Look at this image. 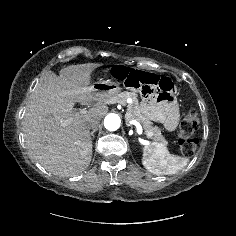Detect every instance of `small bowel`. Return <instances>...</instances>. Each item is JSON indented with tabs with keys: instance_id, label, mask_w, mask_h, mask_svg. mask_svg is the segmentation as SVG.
I'll return each mask as SVG.
<instances>
[{
	"instance_id": "small-bowel-1",
	"label": "small bowel",
	"mask_w": 236,
	"mask_h": 236,
	"mask_svg": "<svg viewBox=\"0 0 236 236\" xmlns=\"http://www.w3.org/2000/svg\"><path fill=\"white\" fill-rule=\"evenodd\" d=\"M144 107L154 121L163 124L166 130L173 131L179 119V111L173 100L160 98L144 102Z\"/></svg>"
}]
</instances>
